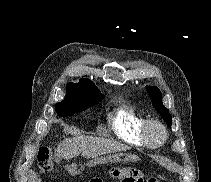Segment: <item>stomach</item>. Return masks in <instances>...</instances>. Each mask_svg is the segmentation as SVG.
<instances>
[{
	"label": "stomach",
	"mask_w": 211,
	"mask_h": 182,
	"mask_svg": "<svg viewBox=\"0 0 211 182\" xmlns=\"http://www.w3.org/2000/svg\"><path fill=\"white\" fill-rule=\"evenodd\" d=\"M133 156L128 154H118L114 156V159L119 162H126L130 160Z\"/></svg>",
	"instance_id": "0dacf381"
}]
</instances>
